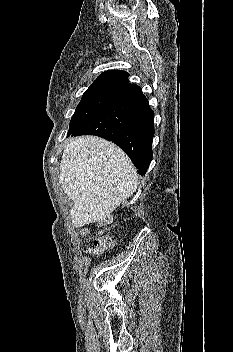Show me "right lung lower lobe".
Segmentation results:
<instances>
[{
	"mask_svg": "<svg viewBox=\"0 0 233 352\" xmlns=\"http://www.w3.org/2000/svg\"><path fill=\"white\" fill-rule=\"evenodd\" d=\"M154 112L142 92L108 108L67 137L96 135L118 145L137 172L145 175L152 160Z\"/></svg>",
	"mask_w": 233,
	"mask_h": 352,
	"instance_id": "obj_1",
	"label": "right lung lower lobe"
}]
</instances>
